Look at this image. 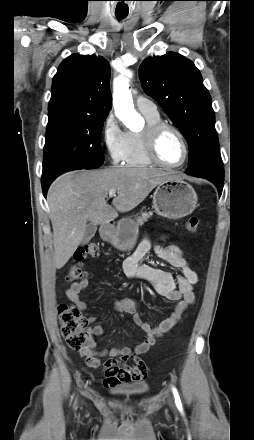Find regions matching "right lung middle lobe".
<instances>
[{"label": "right lung middle lobe", "instance_id": "obj_1", "mask_svg": "<svg viewBox=\"0 0 254 440\" xmlns=\"http://www.w3.org/2000/svg\"><path fill=\"white\" fill-rule=\"evenodd\" d=\"M106 117L69 109L48 113L42 183H51L69 170L103 164L100 137Z\"/></svg>", "mask_w": 254, "mask_h": 440}]
</instances>
